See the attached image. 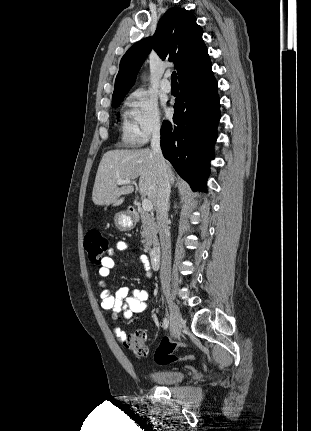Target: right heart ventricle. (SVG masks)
<instances>
[{
  "mask_svg": "<svg viewBox=\"0 0 311 431\" xmlns=\"http://www.w3.org/2000/svg\"><path fill=\"white\" fill-rule=\"evenodd\" d=\"M120 139L124 145H132L138 141L137 129L126 114H123L121 118Z\"/></svg>",
  "mask_w": 311,
  "mask_h": 431,
  "instance_id": "e07e8e85",
  "label": "right heart ventricle"
}]
</instances>
